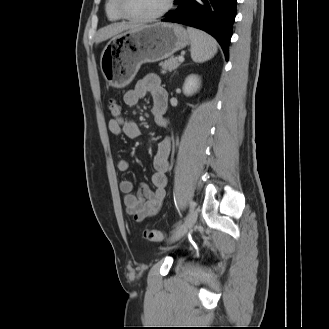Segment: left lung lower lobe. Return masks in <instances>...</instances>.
I'll list each match as a JSON object with an SVG mask.
<instances>
[{
  "label": "left lung lower lobe",
  "mask_w": 329,
  "mask_h": 329,
  "mask_svg": "<svg viewBox=\"0 0 329 329\" xmlns=\"http://www.w3.org/2000/svg\"><path fill=\"white\" fill-rule=\"evenodd\" d=\"M178 8L167 13L165 22L180 23L204 30L221 45L228 60L237 0H178Z\"/></svg>",
  "instance_id": "left-lung-lower-lobe-1"
}]
</instances>
